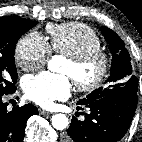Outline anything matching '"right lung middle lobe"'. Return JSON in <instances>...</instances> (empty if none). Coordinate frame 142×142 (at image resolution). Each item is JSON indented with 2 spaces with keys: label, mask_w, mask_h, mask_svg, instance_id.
Here are the masks:
<instances>
[{
  "label": "right lung middle lobe",
  "mask_w": 142,
  "mask_h": 142,
  "mask_svg": "<svg viewBox=\"0 0 142 142\" xmlns=\"http://www.w3.org/2000/svg\"><path fill=\"white\" fill-rule=\"evenodd\" d=\"M36 24V21L15 16L0 18V95L15 88L18 78L14 59L16 43Z\"/></svg>",
  "instance_id": "1"
}]
</instances>
